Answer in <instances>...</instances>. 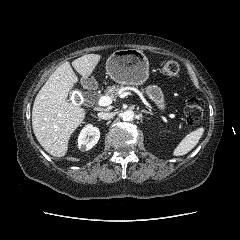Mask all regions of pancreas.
Returning a JSON list of instances; mask_svg holds the SVG:
<instances>
[{"instance_id": "cf45deb5", "label": "pancreas", "mask_w": 240, "mask_h": 240, "mask_svg": "<svg viewBox=\"0 0 240 240\" xmlns=\"http://www.w3.org/2000/svg\"><path fill=\"white\" fill-rule=\"evenodd\" d=\"M123 86L113 85L109 86L106 90V95L109 96L111 99H116L118 94L123 91Z\"/></svg>"}]
</instances>
